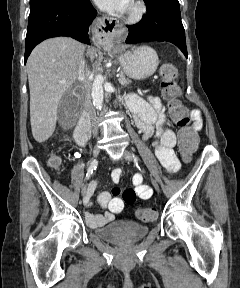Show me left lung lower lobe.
<instances>
[{
  "mask_svg": "<svg viewBox=\"0 0 240 288\" xmlns=\"http://www.w3.org/2000/svg\"><path fill=\"white\" fill-rule=\"evenodd\" d=\"M147 13L135 25H128L126 43L169 41L187 57L184 27L178 0H144Z\"/></svg>",
  "mask_w": 240,
  "mask_h": 288,
  "instance_id": "0a47b994",
  "label": "left lung lower lobe"
}]
</instances>
